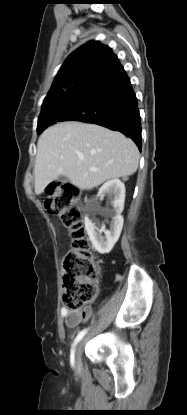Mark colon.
Returning <instances> with one entry per match:
<instances>
[{"instance_id":"5ec220e1","label":"colon","mask_w":187,"mask_h":415,"mask_svg":"<svg viewBox=\"0 0 187 415\" xmlns=\"http://www.w3.org/2000/svg\"><path fill=\"white\" fill-rule=\"evenodd\" d=\"M45 209L70 230L71 249L63 262V303L70 311L82 309L98 293V262L90 252L80 210L81 190L69 182H55L47 188Z\"/></svg>"}]
</instances>
